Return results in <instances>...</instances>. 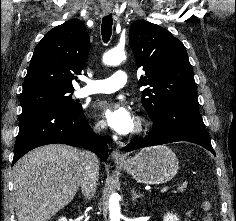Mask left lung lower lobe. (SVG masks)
Masks as SVG:
<instances>
[{
  "label": "left lung lower lobe",
  "mask_w": 236,
  "mask_h": 221,
  "mask_svg": "<svg viewBox=\"0 0 236 221\" xmlns=\"http://www.w3.org/2000/svg\"><path fill=\"white\" fill-rule=\"evenodd\" d=\"M153 122L152 131L148 136L127 145L124 150L132 151L151 145L189 141L203 146L215 155L198 106L170 104L160 111Z\"/></svg>",
  "instance_id": "0a47b994"
}]
</instances>
